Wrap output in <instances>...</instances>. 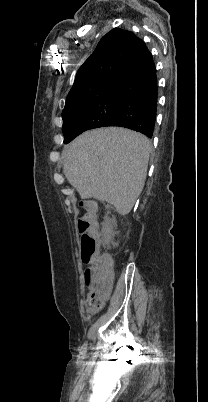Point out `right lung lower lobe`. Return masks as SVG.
Wrapping results in <instances>:
<instances>
[{
    "mask_svg": "<svg viewBox=\"0 0 208 402\" xmlns=\"http://www.w3.org/2000/svg\"><path fill=\"white\" fill-rule=\"evenodd\" d=\"M113 84L121 96L119 110L63 123L64 141H71L86 130L105 126H121L152 137L157 110V78L152 54L145 44Z\"/></svg>",
    "mask_w": 208,
    "mask_h": 402,
    "instance_id": "98d812e1",
    "label": "right lung lower lobe"
}]
</instances>
